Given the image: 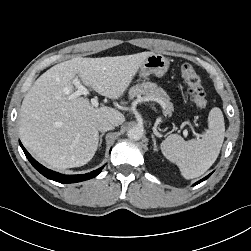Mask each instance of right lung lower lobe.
<instances>
[{
  "label": "right lung lower lobe",
  "instance_id": "98d812e1",
  "mask_svg": "<svg viewBox=\"0 0 251 251\" xmlns=\"http://www.w3.org/2000/svg\"><path fill=\"white\" fill-rule=\"evenodd\" d=\"M20 143L21 148L23 149L26 157L28 158V160L30 161V163L33 165V167L39 171L42 175H44L46 178L60 182V183H76V182H81L84 180H88L91 179L95 176H97L103 167L92 171L90 173L87 174H81V175H63L57 172H54L50 169H47L46 167H44L43 165H41L40 163H38L28 152L27 150L23 147V145Z\"/></svg>",
  "mask_w": 251,
  "mask_h": 251
}]
</instances>
